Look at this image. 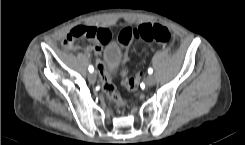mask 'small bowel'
<instances>
[{"mask_svg": "<svg viewBox=\"0 0 245 145\" xmlns=\"http://www.w3.org/2000/svg\"><path fill=\"white\" fill-rule=\"evenodd\" d=\"M97 31H102L104 34L98 36L95 40L91 42V45L87 48V51L99 56L101 52L102 45L105 44L110 40L113 34V28L111 26L107 27H98V26H89ZM70 48V47H69ZM98 68L101 70L104 74H107V70L104 66V64L99 61L98 62Z\"/></svg>", "mask_w": 245, "mask_h": 145, "instance_id": "obj_1", "label": "small bowel"}]
</instances>
